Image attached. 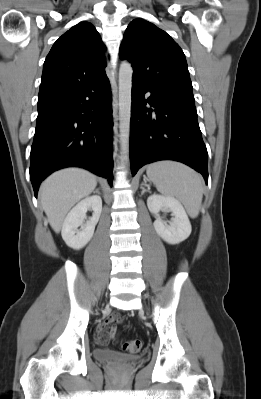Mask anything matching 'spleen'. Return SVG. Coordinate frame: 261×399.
<instances>
[{
	"instance_id": "obj_1",
	"label": "spleen",
	"mask_w": 261,
	"mask_h": 399,
	"mask_svg": "<svg viewBox=\"0 0 261 399\" xmlns=\"http://www.w3.org/2000/svg\"><path fill=\"white\" fill-rule=\"evenodd\" d=\"M146 173L160 193L179 199L190 217L198 216L203 198V179L198 173L175 161L152 163Z\"/></svg>"
}]
</instances>
